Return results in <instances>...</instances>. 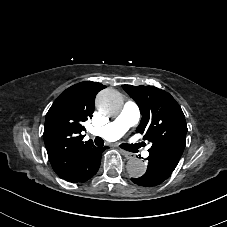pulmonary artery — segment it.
Returning a JSON list of instances; mask_svg holds the SVG:
<instances>
[{
  "instance_id": "e3ab8cb5",
  "label": "pulmonary artery",
  "mask_w": 227,
  "mask_h": 227,
  "mask_svg": "<svg viewBox=\"0 0 227 227\" xmlns=\"http://www.w3.org/2000/svg\"><path fill=\"white\" fill-rule=\"evenodd\" d=\"M140 117L138 107L134 104H126L121 113L110 122L109 125H99L92 127L90 134L92 136H101L107 134L112 139L119 138L122 134L127 133L132 126H134Z\"/></svg>"
}]
</instances>
